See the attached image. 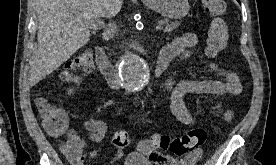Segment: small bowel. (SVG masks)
Here are the masks:
<instances>
[{
	"instance_id": "c3829d8e",
	"label": "small bowel",
	"mask_w": 276,
	"mask_h": 165,
	"mask_svg": "<svg viewBox=\"0 0 276 165\" xmlns=\"http://www.w3.org/2000/svg\"><path fill=\"white\" fill-rule=\"evenodd\" d=\"M198 45V37L196 34L187 32L174 38L170 43L165 45L161 50L160 56H163L172 61H182L194 55V49ZM209 70L218 76V80H182L175 82L171 76H168L164 82L166 90L170 94V108L173 115L185 125L193 123V116L188 110L184 97L187 94H210L215 96H229L238 95L242 91V84L238 75L215 62H208ZM232 111H227L225 118L231 119ZM84 127L87 131V137L93 143H99L103 140L107 124L102 119L88 118L84 121ZM68 140L77 144V151L75 154H69L65 150L66 155L71 160L73 165H86L87 158H94L96 151L92 150L88 156H85L82 149L85 145V138L76 130H69L67 132ZM143 140L139 144V152L145 156L147 155L140 149V145L144 144ZM200 152L195 151L189 154L186 158L177 160L170 155L157 153L155 159L149 160L157 165H193L199 158ZM123 157L122 150H117L109 159V165H116Z\"/></svg>"
}]
</instances>
